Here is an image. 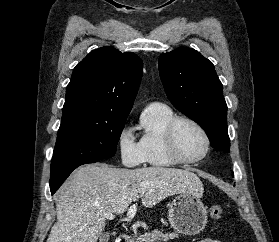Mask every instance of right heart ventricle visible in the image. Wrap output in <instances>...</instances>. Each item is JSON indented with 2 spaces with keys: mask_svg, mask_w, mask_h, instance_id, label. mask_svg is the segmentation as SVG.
<instances>
[{
  "mask_svg": "<svg viewBox=\"0 0 279 242\" xmlns=\"http://www.w3.org/2000/svg\"><path fill=\"white\" fill-rule=\"evenodd\" d=\"M174 117L171 108L158 103L149 105L142 114L139 145L145 162L150 166L172 167L178 164L169 155L164 141L166 126Z\"/></svg>",
  "mask_w": 279,
  "mask_h": 242,
  "instance_id": "obj_1",
  "label": "right heart ventricle"
}]
</instances>
